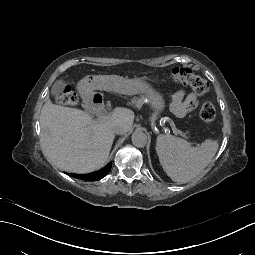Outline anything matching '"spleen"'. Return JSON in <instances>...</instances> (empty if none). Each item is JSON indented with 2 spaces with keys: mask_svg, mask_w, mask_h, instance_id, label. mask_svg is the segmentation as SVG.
Listing matches in <instances>:
<instances>
[{
  "mask_svg": "<svg viewBox=\"0 0 255 255\" xmlns=\"http://www.w3.org/2000/svg\"><path fill=\"white\" fill-rule=\"evenodd\" d=\"M217 149L218 142L212 138H206L200 146L191 148L185 140L165 134L158 135L155 144L164 172L178 183H187L198 175L215 156Z\"/></svg>",
  "mask_w": 255,
  "mask_h": 255,
  "instance_id": "spleen-1",
  "label": "spleen"
}]
</instances>
